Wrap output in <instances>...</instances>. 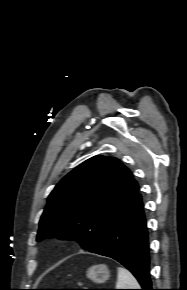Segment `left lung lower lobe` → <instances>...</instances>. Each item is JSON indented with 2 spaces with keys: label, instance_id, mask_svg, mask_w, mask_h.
<instances>
[{
  "label": "left lung lower lobe",
  "instance_id": "0a47b994",
  "mask_svg": "<svg viewBox=\"0 0 187 290\" xmlns=\"http://www.w3.org/2000/svg\"><path fill=\"white\" fill-rule=\"evenodd\" d=\"M148 240L142 197L137 193L111 231L90 252L117 260L136 277L142 290H153Z\"/></svg>",
  "mask_w": 187,
  "mask_h": 290
}]
</instances>
